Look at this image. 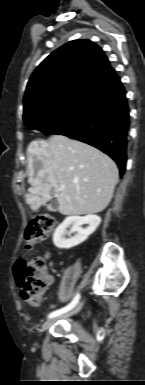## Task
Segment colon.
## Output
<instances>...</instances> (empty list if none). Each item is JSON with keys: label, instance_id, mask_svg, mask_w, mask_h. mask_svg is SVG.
<instances>
[{"label": "colon", "instance_id": "colon-1", "mask_svg": "<svg viewBox=\"0 0 145 385\" xmlns=\"http://www.w3.org/2000/svg\"><path fill=\"white\" fill-rule=\"evenodd\" d=\"M55 225L49 214L37 216L28 224L24 242L28 248L45 240ZM46 261L41 257H30L19 261L14 269L15 280L21 297L32 306H39L50 285L49 275L45 273Z\"/></svg>", "mask_w": 145, "mask_h": 385}]
</instances>
